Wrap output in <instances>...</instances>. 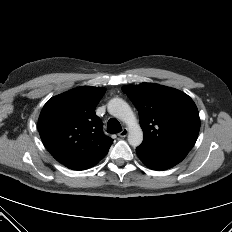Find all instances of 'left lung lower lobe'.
Wrapping results in <instances>:
<instances>
[{
    "label": "left lung lower lobe",
    "mask_w": 232,
    "mask_h": 232,
    "mask_svg": "<svg viewBox=\"0 0 232 232\" xmlns=\"http://www.w3.org/2000/svg\"><path fill=\"white\" fill-rule=\"evenodd\" d=\"M137 155L140 160L149 168L154 170H166L179 162H181L187 155L185 151H174L166 153H152L142 151L136 148Z\"/></svg>",
    "instance_id": "left-lung-lower-lobe-1"
}]
</instances>
